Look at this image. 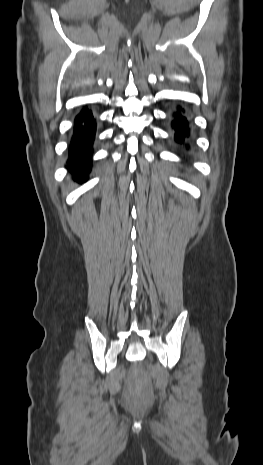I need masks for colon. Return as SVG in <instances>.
Returning <instances> with one entry per match:
<instances>
[{
  "label": "colon",
  "instance_id": "colon-1",
  "mask_svg": "<svg viewBox=\"0 0 263 465\" xmlns=\"http://www.w3.org/2000/svg\"><path fill=\"white\" fill-rule=\"evenodd\" d=\"M136 384H137V381H136V380H134V381H133V385H136Z\"/></svg>",
  "mask_w": 263,
  "mask_h": 465
}]
</instances>
